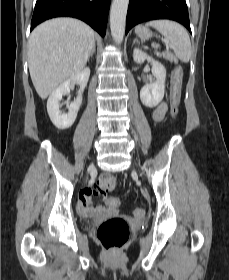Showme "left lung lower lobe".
<instances>
[{
	"label": "left lung lower lobe",
	"mask_w": 229,
	"mask_h": 280,
	"mask_svg": "<svg viewBox=\"0 0 229 280\" xmlns=\"http://www.w3.org/2000/svg\"><path fill=\"white\" fill-rule=\"evenodd\" d=\"M156 19L177 21L191 32L185 0H130L126 18V34L135 25Z\"/></svg>",
	"instance_id": "left-lung-lower-lobe-1"
}]
</instances>
